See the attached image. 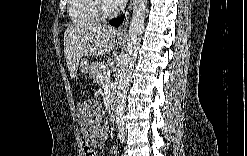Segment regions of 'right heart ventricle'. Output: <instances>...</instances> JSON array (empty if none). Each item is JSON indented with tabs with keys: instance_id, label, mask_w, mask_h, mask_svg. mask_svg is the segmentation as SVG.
Returning <instances> with one entry per match:
<instances>
[{
	"instance_id": "right-heart-ventricle-1",
	"label": "right heart ventricle",
	"mask_w": 247,
	"mask_h": 156,
	"mask_svg": "<svg viewBox=\"0 0 247 156\" xmlns=\"http://www.w3.org/2000/svg\"><path fill=\"white\" fill-rule=\"evenodd\" d=\"M93 0H71L68 3V15L74 25H87L99 21L94 12Z\"/></svg>"
}]
</instances>
